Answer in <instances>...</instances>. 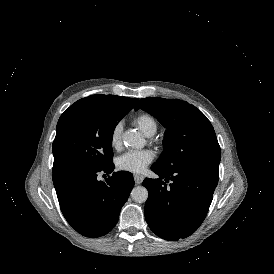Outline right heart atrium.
I'll return each mask as SVG.
<instances>
[{"mask_svg":"<svg viewBox=\"0 0 274 274\" xmlns=\"http://www.w3.org/2000/svg\"><path fill=\"white\" fill-rule=\"evenodd\" d=\"M121 144L120 130L116 126L112 129L110 134V145L113 149H118Z\"/></svg>","mask_w":274,"mask_h":274,"instance_id":"right-heart-atrium-1","label":"right heart atrium"}]
</instances>
